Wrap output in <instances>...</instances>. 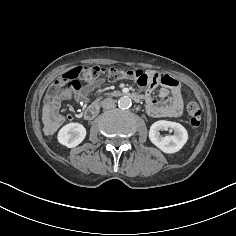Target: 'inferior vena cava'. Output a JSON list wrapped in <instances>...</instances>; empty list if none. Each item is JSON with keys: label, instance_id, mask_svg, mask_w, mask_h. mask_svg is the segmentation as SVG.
Masks as SVG:
<instances>
[{"label": "inferior vena cava", "instance_id": "602c4592", "mask_svg": "<svg viewBox=\"0 0 236 236\" xmlns=\"http://www.w3.org/2000/svg\"><path fill=\"white\" fill-rule=\"evenodd\" d=\"M101 105L104 109H111L115 106V101L112 98H105Z\"/></svg>", "mask_w": 236, "mask_h": 236}]
</instances>
